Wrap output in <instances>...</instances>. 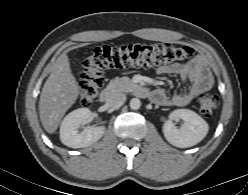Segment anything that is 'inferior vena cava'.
Returning a JSON list of instances; mask_svg holds the SVG:
<instances>
[{
	"instance_id": "1",
	"label": "inferior vena cava",
	"mask_w": 248,
	"mask_h": 195,
	"mask_svg": "<svg viewBox=\"0 0 248 195\" xmlns=\"http://www.w3.org/2000/svg\"><path fill=\"white\" fill-rule=\"evenodd\" d=\"M126 100L125 94L121 92H115L110 95V97L107 99V104L110 107H117L119 105H122Z\"/></svg>"
}]
</instances>
